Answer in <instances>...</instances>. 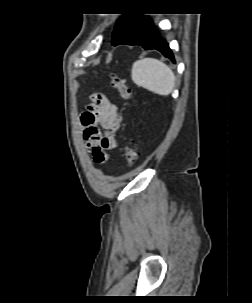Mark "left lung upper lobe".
Wrapping results in <instances>:
<instances>
[{
    "instance_id": "1",
    "label": "left lung upper lobe",
    "mask_w": 252,
    "mask_h": 303,
    "mask_svg": "<svg viewBox=\"0 0 252 303\" xmlns=\"http://www.w3.org/2000/svg\"><path fill=\"white\" fill-rule=\"evenodd\" d=\"M143 18L144 16L140 14H127L120 18L117 21L112 34V45L115 46L120 40L129 34Z\"/></svg>"
}]
</instances>
